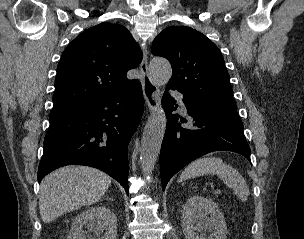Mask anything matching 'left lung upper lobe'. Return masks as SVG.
I'll return each instance as SVG.
<instances>
[{"mask_svg": "<svg viewBox=\"0 0 304 239\" xmlns=\"http://www.w3.org/2000/svg\"><path fill=\"white\" fill-rule=\"evenodd\" d=\"M152 53L172 65L168 88L192 103L237 113L223 56L205 35L190 27H167L154 39Z\"/></svg>", "mask_w": 304, "mask_h": 239, "instance_id": "left-lung-upper-lobe-1", "label": "left lung upper lobe"}]
</instances>
